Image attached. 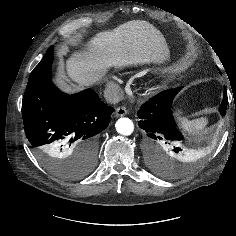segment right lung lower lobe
<instances>
[{
  "mask_svg": "<svg viewBox=\"0 0 236 236\" xmlns=\"http://www.w3.org/2000/svg\"><path fill=\"white\" fill-rule=\"evenodd\" d=\"M52 61L53 46L29 76L22 100L25 134L37 151L65 154L78 145V159L95 164L98 134L108 127L114 108L92 89L62 93L51 80Z\"/></svg>",
  "mask_w": 236,
  "mask_h": 236,
  "instance_id": "98d812e1",
  "label": "right lung lower lobe"
}]
</instances>
